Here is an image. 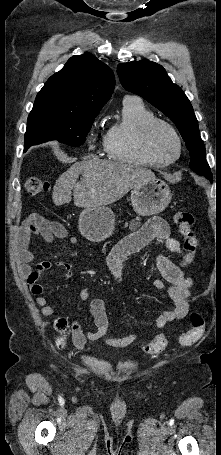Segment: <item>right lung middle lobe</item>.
I'll list each match as a JSON object with an SVG mask.
<instances>
[{
    "label": "right lung middle lobe",
    "instance_id": "right-lung-middle-lobe-1",
    "mask_svg": "<svg viewBox=\"0 0 221 455\" xmlns=\"http://www.w3.org/2000/svg\"><path fill=\"white\" fill-rule=\"evenodd\" d=\"M97 113H71L33 107L28 116L24 150L48 140L76 147L85 142Z\"/></svg>",
    "mask_w": 221,
    "mask_h": 455
}]
</instances>
